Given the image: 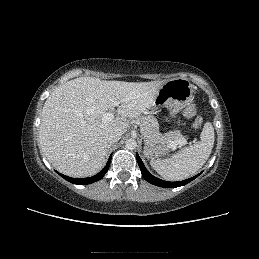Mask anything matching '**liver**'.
<instances>
[{"mask_svg": "<svg viewBox=\"0 0 259 259\" xmlns=\"http://www.w3.org/2000/svg\"><path fill=\"white\" fill-rule=\"evenodd\" d=\"M165 81L124 82L80 77L56 88L44 103L39 128L41 149L59 172L72 177L98 173L108 153L106 134L131 126L153 106ZM120 101L118 117L103 121Z\"/></svg>", "mask_w": 259, "mask_h": 259, "instance_id": "obj_1", "label": "liver"}]
</instances>
